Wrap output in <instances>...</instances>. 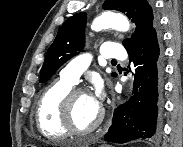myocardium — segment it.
Listing matches in <instances>:
<instances>
[{
    "label": "myocardium",
    "mask_w": 183,
    "mask_h": 147,
    "mask_svg": "<svg viewBox=\"0 0 183 147\" xmlns=\"http://www.w3.org/2000/svg\"><path fill=\"white\" fill-rule=\"evenodd\" d=\"M82 94H89V92L84 88H72L60 104V118L62 125L69 131V133L75 135H87L92 133L101 125L104 119V109L102 106H99V114L96 120L88 128L79 129L76 127L72 115L73 103L75 99Z\"/></svg>",
    "instance_id": "obj_1"
}]
</instances>
